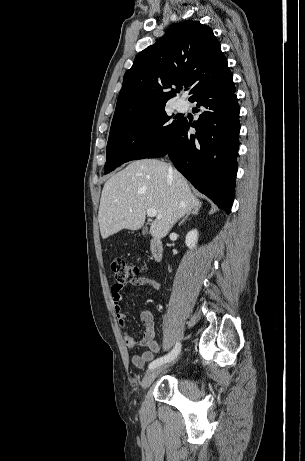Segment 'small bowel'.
<instances>
[{"label": "small bowel", "mask_w": 305, "mask_h": 461, "mask_svg": "<svg viewBox=\"0 0 305 461\" xmlns=\"http://www.w3.org/2000/svg\"><path fill=\"white\" fill-rule=\"evenodd\" d=\"M129 285L137 288H149L152 291H157L160 287V284L157 279L142 276L136 278L135 280L128 283ZM124 283L115 282L111 286V300L114 306V309L117 313V318L120 326L126 330V317L122 312V302H123V287ZM140 319L144 325V335L141 340L135 339L133 336L128 333L125 334V342L128 349L134 354L131 357V361L134 366L139 369H143L145 365L152 361L160 351L158 342H157V324L155 321L154 315L149 310H143L140 314ZM142 347H147L148 350L143 351L138 354L136 351Z\"/></svg>", "instance_id": "c3829d8e"}]
</instances>
